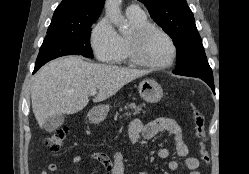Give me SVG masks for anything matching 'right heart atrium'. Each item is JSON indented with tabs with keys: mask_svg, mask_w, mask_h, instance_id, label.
Masks as SVG:
<instances>
[{
	"mask_svg": "<svg viewBox=\"0 0 249 174\" xmlns=\"http://www.w3.org/2000/svg\"><path fill=\"white\" fill-rule=\"evenodd\" d=\"M90 44L99 61L113 63L121 53L120 38L108 18L100 19L92 29Z\"/></svg>",
	"mask_w": 249,
	"mask_h": 174,
	"instance_id": "right-heart-atrium-1",
	"label": "right heart atrium"
}]
</instances>
